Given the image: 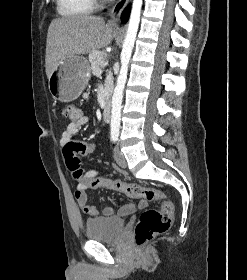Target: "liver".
<instances>
[{
    "label": "liver",
    "mask_w": 247,
    "mask_h": 280,
    "mask_svg": "<svg viewBox=\"0 0 247 280\" xmlns=\"http://www.w3.org/2000/svg\"><path fill=\"white\" fill-rule=\"evenodd\" d=\"M114 33L113 26L101 17L76 15L54 19L47 33V78L67 57L84 55L108 46Z\"/></svg>",
    "instance_id": "6515ba94"
}]
</instances>
